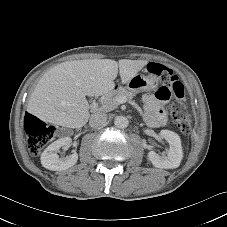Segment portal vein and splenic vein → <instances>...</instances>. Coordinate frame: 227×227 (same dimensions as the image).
I'll return each instance as SVG.
<instances>
[{"label":"portal vein and splenic vein","mask_w":227,"mask_h":227,"mask_svg":"<svg viewBox=\"0 0 227 227\" xmlns=\"http://www.w3.org/2000/svg\"><path fill=\"white\" fill-rule=\"evenodd\" d=\"M119 101H120V102H125L126 100H125L124 97H122V98L119 99Z\"/></svg>","instance_id":"portal-vein-and-splenic-vein-1"}]
</instances>
